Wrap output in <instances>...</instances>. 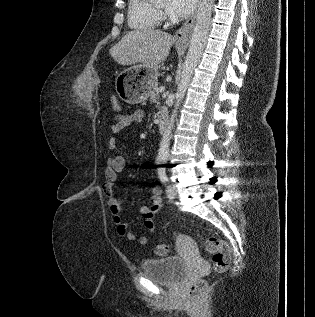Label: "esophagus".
Listing matches in <instances>:
<instances>
[{"mask_svg": "<svg viewBox=\"0 0 315 317\" xmlns=\"http://www.w3.org/2000/svg\"><path fill=\"white\" fill-rule=\"evenodd\" d=\"M196 14L192 15L187 21L176 31L175 38L183 48L189 44V40L193 31Z\"/></svg>", "mask_w": 315, "mask_h": 317, "instance_id": "obj_1", "label": "esophagus"}]
</instances>
